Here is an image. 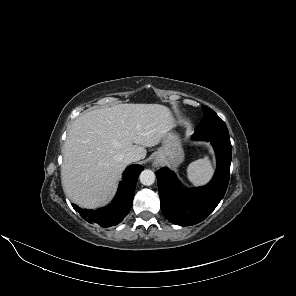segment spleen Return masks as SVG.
Instances as JSON below:
<instances>
[{
  "mask_svg": "<svg viewBox=\"0 0 296 296\" xmlns=\"http://www.w3.org/2000/svg\"><path fill=\"white\" fill-rule=\"evenodd\" d=\"M212 174L213 167L207 156L190 163L187 168L188 180L195 186L208 182Z\"/></svg>",
  "mask_w": 296,
  "mask_h": 296,
  "instance_id": "obj_1",
  "label": "spleen"
}]
</instances>
